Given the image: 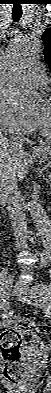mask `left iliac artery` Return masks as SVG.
I'll return each instance as SVG.
<instances>
[{
  "label": "left iliac artery",
  "instance_id": "left-iliac-artery-1",
  "mask_svg": "<svg viewBox=\"0 0 51 393\" xmlns=\"http://www.w3.org/2000/svg\"><path fill=\"white\" fill-rule=\"evenodd\" d=\"M37 287L43 290V293H46V299L51 301V287L49 285H38Z\"/></svg>",
  "mask_w": 51,
  "mask_h": 393
}]
</instances>
